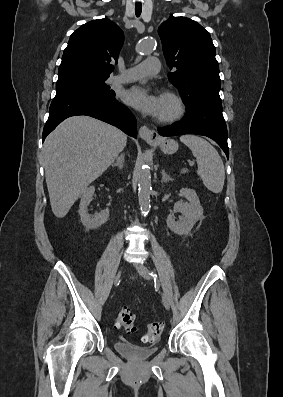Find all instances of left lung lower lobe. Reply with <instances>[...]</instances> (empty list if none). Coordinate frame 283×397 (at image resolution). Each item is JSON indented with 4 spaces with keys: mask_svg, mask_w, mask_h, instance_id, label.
Returning <instances> with one entry per match:
<instances>
[{
    "mask_svg": "<svg viewBox=\"0 0 283 397\" xmlns=\"http://www.w3.org/2000/svg\"><path fill=\"white\" fill-rule=\"evenodd\" d=\"M185 117L172 125L157 128L161 136L198 134L213 139L229 156L227 127L222 109L207 105H193L186 108Z\"/></svg>",
    "mask_w": 283,
    "mask_h": 397,
    "instance_id": "1",
    "label": "left lung lower lobe"
}]
</instances>
